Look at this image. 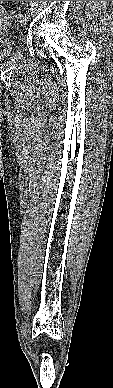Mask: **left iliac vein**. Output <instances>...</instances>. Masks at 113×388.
<instances>
[{
	"instance_id": "obj_1",
	"label": "left iliac vein",
	"mask_w": 113,
	"mask_h": 388,
	"mask_svg": "<svg viewBox=\"0 0 113 388\" xmlns=\"http://www.w3.org/2000/svg\"><path fill=\"white\" fill-rule=\"evenodd\" d=\"M28 19L29 18H28L26 13L19 14V21H20L21 25H25L27 23Z\"/></svg>"
}]
</instances>
